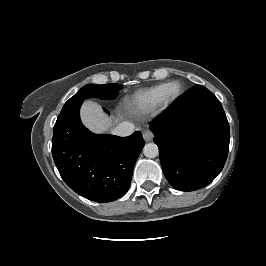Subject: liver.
<instances>
[{
	"label": "liver",
	"instance_id": "1",
	"mask_svg": "<svg viewBox=\"0 0 266 266\" xmlns=\"http://www.w3.org/2000/svg\"><path fill=\"white\" fill-rule=\"evenodd\" d=\"M83 124L94 133H103L111 125V120L103 113L100 106L93 101H85L81 108Z\"/></svg>",
	"mask_w": 266,
	"mask_h": 266
}]
</instances>
